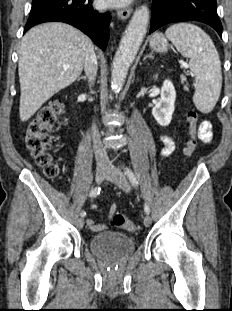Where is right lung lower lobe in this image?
Returning a JSON list of instances; mask_svg holds the SVG:
<instances>
[{
  "instance_id": "obj_1",
  "label": "right lung lower lobe",
  "mask_w": 232,
  "mask_h": 311,
  "mask_svg": "<svg viewBox=\"0 0 232 311\" xmlns=\"http://www.w3.org/2000/svg\"><path fill=\"white\" fill-rule=\"evenodd\" d=\"M91 3L92 0H33L24 33L40 23L65 22L80 29L105 50L111 15L94 10Z\"/></svg>"
}]
</instances>
